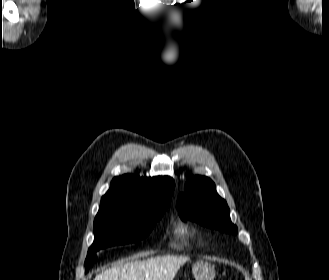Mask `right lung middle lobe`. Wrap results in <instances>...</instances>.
Here are the masks:
<instances>
[{
	"instance_id": "1",
	"label": "right lung middle lobe",
	"mask_w": 329,
	"mask_h": 280,
	"mask_svg": "<svg viewBox=\"0 0 329 280\" xmlns=\"http://www.w3.org/2000/svg\"><path fill=\"white\" fill-rule=\"evenodd\" d=\"M169 204L170 201L159 202L148 209L118 202L101 204L94 220L95 239L85 260L86 271L97 260L98 250L145 238Z\"/></svg>"
}]
</instances>
